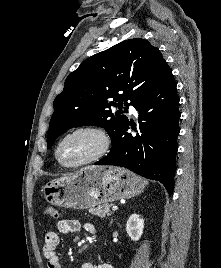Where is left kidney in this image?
<instances>
[{
  "label": "left kidney",
  "mask_w": 221,
  "mask_h": 268,
  "mask_svg": "<svg viewBox=\"0 0 221 268\" xmlns=\"http://www.w3.org/2000/svg\"><path fill=\"white\" fill-rule=\"evenodd\" d=\"M144 220L137 214H132L126 224V231L133 241H138L143 233Z\"/></svg>",
  "instance_id": "1"
}]
</instances>
